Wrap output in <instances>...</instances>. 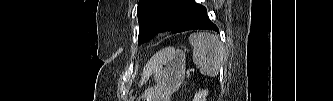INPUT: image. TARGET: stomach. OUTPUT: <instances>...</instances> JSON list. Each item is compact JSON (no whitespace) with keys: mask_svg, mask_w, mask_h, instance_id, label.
<instances>
[{"mask_svg":"<svg viewBox=\"0 0 333 101\" xmlns=\"http://www.w3.org/2000/svg\"><path fill=\"white\" fill-rule=\"evenodd\" d=\"M159 66L155 72V85L145 90L139 101H169L182 85L185 77V53L173 47L158 53Z\"/></svg>","mask_w":333,"mask_h":101,"instance_id":"1","label":"stomach"}]
</instances>
